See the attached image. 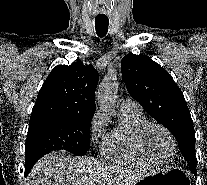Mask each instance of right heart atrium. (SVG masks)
<instances>
[{"label":"right heart atrium","mask_w":207,"mask_h":185,"mask_svg":"<svg viewBox=\"0 0 207 185\" xmlns=\"http://www.w3.org/2000/svg\"><path fill=\"white\" fill-rule=\"evenodd\" d=\"M109 122V116L104 111H97L90 124V135L92 139L102 136Z\"/></svg>","instance_id":"1"}]
</instances>
